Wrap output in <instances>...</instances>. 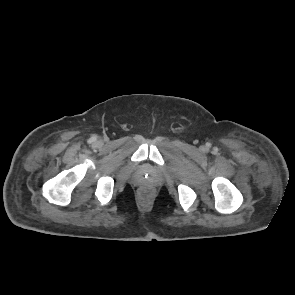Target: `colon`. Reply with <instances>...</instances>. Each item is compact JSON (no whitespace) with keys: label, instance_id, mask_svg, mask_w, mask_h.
<instances>
[{"label":"colon","instance_id":"1","mask_svg":"<svg viewBox=\"0 0 295 295\" xmlns=\"http://www.w3.org/2000/svg\"><path fill=\"white\" fill-rule=\"evenodd\" d=\"M152 194V189L150 187H143L140 190V195L144 199H148Z\"/></svg>","mask_w":295,"mask_h":295}]
</instances>
